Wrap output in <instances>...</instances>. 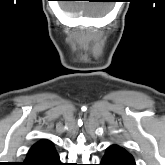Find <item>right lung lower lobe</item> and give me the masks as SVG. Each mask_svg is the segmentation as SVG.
<instances>
[{
  "label": "right lung lower lobe",
  "instance_id": "right-lung-lower-lobe-1",
  "mask_svg": "<svg viewBox=\"0 0 165 165\" xmlns=\"http://www.w3.org/2000/svg\"><path fill=\"white\" fill-rule=\"evenodd\" d=\"M23 165H62L49 140H41L31 147Z\"/></svg>",
  "mask_w": 165,
  "mask_h": 165
}]
</instances>
